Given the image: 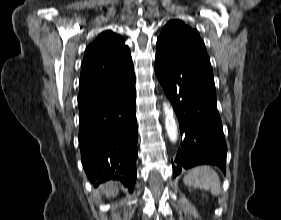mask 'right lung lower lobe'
<instances>
[{
  "instance_id": "right-lung-lower-lobe-1",
  "label": "right lung lower lobe",
  "mask_w": 281,
  "mask_h": 220,
  "mask_svg": "<svg viewBox=\"0 0 281 220\" xmlns=\"http://www.w3.org/2000/svg\"><path fill=\"white\" fill-rule=\"evenodd\" d=\"M135 79L79 105V147L83 168L96 186L119 180L132 192L136 182L137 120Z\"/></svg>"
}]
</instances>
